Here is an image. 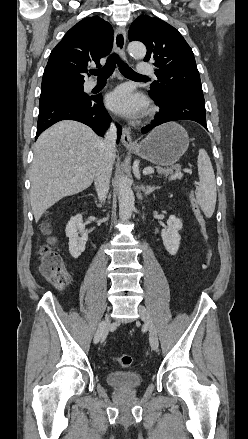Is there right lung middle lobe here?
<instances>
[{"instance_id": "right-lung-middle-lobe-1", "label": "right lung middle lobe", "mask_w": 248, "mask_h": 439, "mask_svg": "<svg viewBox=\"0 0 248 439\" xmlns=\"http://www.w3.org/2000/svg\"><path fill=\"white\" fill-rule=\"evenodd\" d=\"M89 98V96L83 92V87L64 91L61 93L41 96L39 101V109L52 105L54 103H58L61 101L73 99V98Z\"/></svg>"}]
</instances>
